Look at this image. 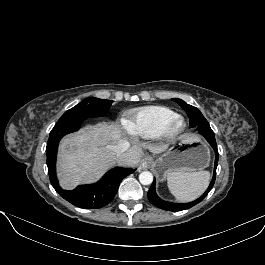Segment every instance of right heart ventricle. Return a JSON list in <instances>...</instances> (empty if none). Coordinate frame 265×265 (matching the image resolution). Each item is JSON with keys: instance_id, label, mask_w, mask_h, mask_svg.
<instances>
[{"instance_id": "1", "label": "right heart ventricle", "mask_w": 265, "mask_h": 265, "mask_svg": "<svg viewBox=\"0 0 265 265\" xmlns=\"http://www.w3.org/2000/svg\"><path fill=\"white\" fill-rule=\"evenodd\" d=\"M177 113L165 106H145L125 113L124 124L127 131L145 139L160 136L165 124Z\"/></svg>"}]
</instances>
